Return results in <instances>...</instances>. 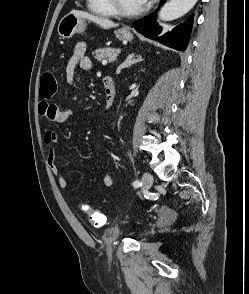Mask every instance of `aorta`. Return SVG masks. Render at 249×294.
I'll return each instance as SVG.
<instances>
[{
  "mask_svg": "<svg viewBox=\"0 0 249 294\" xmlns=\"http://www.w3.org/2000/svg\"><path fill=\"white\" fill-rule=\"evenodd\" d=\"M197 0H170L159 12V18L163 21L178 19L189 12Z\"/></svg>",
  "mask_w": 249,
  "mask_h": 294,
  "instance_id": "obj_1",
  "label": "aorta"
}]
</instances>
